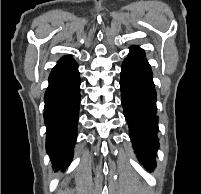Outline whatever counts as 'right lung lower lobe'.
I'll return each instance as SVG.
<instances>
[{"instance_id":"right-lung-lower-lobe-1","label":"right lung lower lobe","mask_w":201,"mask_h":194,"mask_svg":"<svg viewBox=\"0 0 201 194\" xmlns=\"http://www.w3.org/2000/svg\"><path fill=\"white\" fill-rule=\"evenodd\" d=\"M80 77L75 60L61 58L49 76L44 101L46 151L53 167L65 169L72 161L77 137Z\"/></svg>"}]
</instances>
